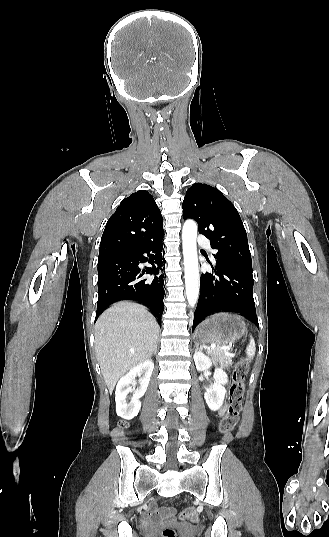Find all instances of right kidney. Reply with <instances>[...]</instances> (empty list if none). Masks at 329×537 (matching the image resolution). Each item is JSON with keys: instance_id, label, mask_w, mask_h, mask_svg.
<instances>
[{"instance_id": "obj_1", "label": "right kidney", "mask_w": 329, "mask_h": 537, "mask_svg": "<svg viewBox=\"0 0 329 537\" xmlns=\"http://www.w3.org/2000/svg\"><path fill=\"white\" fill-rule=\"evenodd\" d=\"M153 369V361L146 360L132 368L118 381L115 391L116 413L118 416L126 420H131L138 415L141 408L140 398L146 392ZM137 375H142V378L139 380L140 386L132 390L131 384H135ZM129 393H133L130 401L128 399Z\"/></svg>"}]
</instances>
